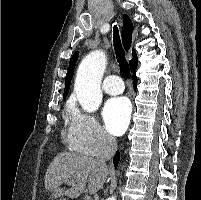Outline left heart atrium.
I'll use <instances>...</instances> for the list:
<instances>
[{
  "mask_svg": "<svg viewBox=\"0 0 201 200\" xmlns=\"http://www.w3.org/2000/svg\"><path fill=\"white\" fill-rule=\"evenodd\" d=\"M131 115L130 102L125 97L108 100L102 110L107 130L113 135H121L127 129Z\"/></svg>",
  "mask_w": 201,
  "mask_h": 200,
  "instance_id": "obj_1",
  "label": "left heart atrium"
}]
</instances>
